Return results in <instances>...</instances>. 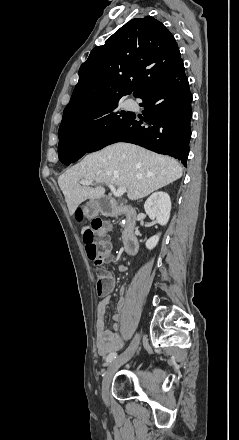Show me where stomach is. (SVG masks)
<instances>
[{"mask_svg": "<svg viewBox=\"0 0 239 440\" xmlns=\"http://www.w3.org/2000/svg\"><path fill=\"white\" fill-rule=\"evenodd\" d=\"M101 210L100 202L95 198V200H90L85 206H83V214L87 220H92L95 216H98Z\"/></svg>", "mask_w": 239, "mask_h": 440, "instance_id": "stomach-1", "label": "stomach"}]
</instances>
